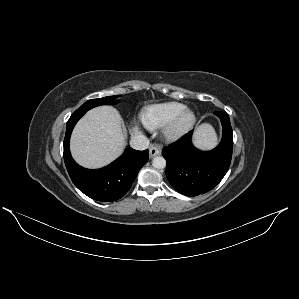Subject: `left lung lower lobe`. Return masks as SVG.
I'll return each instance as SVG.
<instances>
[{"mask_svg":"<svg viewBox=\"0 0 299 299\" xmlns=\"http://www.w3.org/2000/svg\"><path fill=\"white\" fill-rule=\"evenodd\" d=\"M222 123L220 144L213 150L203 152L191 142L193 131L162 150L166 159V176L179 193L197 196L213 189L227 173L233 150V135L228 115L215 112Z\"/></svg>","mask_w":299,"mask_h":299,"instance_id":"1","label":"left lung lower lobe"}]
</instances>
